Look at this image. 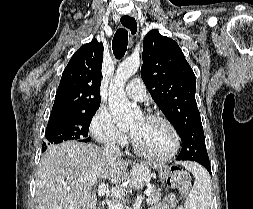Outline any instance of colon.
<instances>
[{
    "mask_svg": "<svg viewBox=\"0 0 253 209\" xmlns=\"http://www.w3.org/2000/svg\"><path fill=\"white\" fill-rule=\"evenodd\" d=\"M168 183L171 186H178L180 188V196L185 198L188 195L190 189V181L187 174L179 169H171L169 171Z\"/></svg>",
    "mask_w": 253,
    "mask_h": 209,
    "instance_id": "1",
    "label": "colon"
}]
</instances>
